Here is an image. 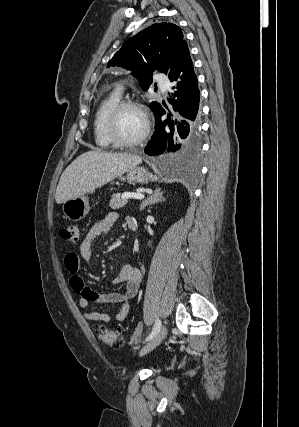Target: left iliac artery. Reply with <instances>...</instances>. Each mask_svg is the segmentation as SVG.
Here are the masks:
<instances>
[{
	"label": "left iliac artery",
	"mask_w": 299,
	"mask_h": 427,
	"mask_svg": "<svg viewBox=\"0 0 299 427\" xmlns=\"http://www.w3.org/2000/svg\"><path fill=\"white\" fill-rule=\"evenodd\" d=\"M160 327H161V321L157 318L156 322H155V325L153 327V330L149 334V336L146 338V341L151 340L158 333V331L160 330Z\"/></svg>",
	"instance_id": "left-iliac-artery-1"
}]
</instances>
